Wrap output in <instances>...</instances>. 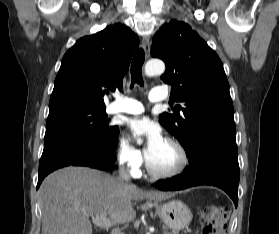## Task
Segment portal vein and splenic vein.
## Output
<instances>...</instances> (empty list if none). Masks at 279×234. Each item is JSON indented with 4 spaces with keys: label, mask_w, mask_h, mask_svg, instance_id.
Wrapping results in <instances>:
<instances>
[{
    "label": "portal vein and splenic vein",
    "mask_w": 279,
    "mask_h": 234,
    "mask_svg": "<svg viewBox=\"0 0 279 234\" xmlns=\"http://www.w3.org/2000/svg\"><path fill=\"white\" fill-rule=\"evenodd\" d=\"M92 221L95 225L99 227H110L113 225V222L107 218L105 214H101L98 216H92Z\"/></svg>",
    "instance_id": "portal-vein-and-splenic-vein-1"
}]
</instances>
